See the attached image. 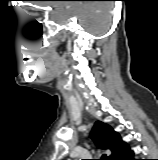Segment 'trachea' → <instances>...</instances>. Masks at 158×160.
<instances>
[{"label":"trachea","instance_id":"trachea-1","mask_svg":"<svg viewBox=\"0 0 158 160\" xmlns=\"http://www.w3.org/2000/svg\"><path fill=\"white\" fill-rule=\"evenodd\" d=\"M99 160H108V159L106 158V156H105V155H103V156H102V158H101V159H99Z\"/></svg>","mask_w":158,"mask_h":160}]
</instances>
